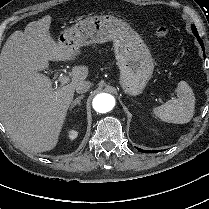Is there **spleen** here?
Wrapping results in <instances>:
<instances>
[{"label": "spleen", "instance_id": "1", "mask_svg": "<svg viewBox=\"0 0 209 209\" xmlns=\"http://www.w3.org/2000/svg\"><path fill=\"white\" fill-rule=\"evenodd\" d=\"M177 98L168 100L153 109L154 114L168 123L184 124L189 122L195 110V96L186 81H180L176 88Z\"/></svg>", "mask_w": 209, "mask_h": 209}]
</instances>
